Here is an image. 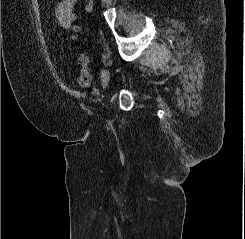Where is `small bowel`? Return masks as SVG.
Segmentation results:
<instances>
[{
    "label": "small bowel",
    "instance_id": "1",
    "mask_svg": "<svg viewBox=\"0 0 245 239\" xmlns=\"http://www.w3.org/2000/svg\"><path fill=\"white\" fill-rule=\"evenodd\" d=\"M77 0H60L56 7V18L59 25L64 29H75V21L77 20L76 14ZM86 9H92V1L89 2Z\"/></svg>",
    "mask_w": 245,
    "mask_h": 239
}]
</instances>
